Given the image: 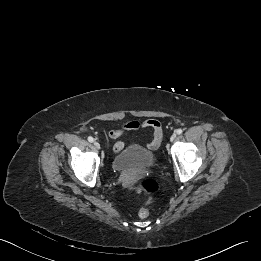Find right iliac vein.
<instances>
[{"instance_id":"63e3f726","label":"right iliac vein","mask_w":261,"mask_h":261,"mask_svg":"<svg viewBox=\"0 0 261 261\" xmlns=\"http://www.w3.org/2000/svg\"><path fill=\"white\" fill-rule=\"evenodd\" d=\"M94 146L97 148V149H100V143L98 141H94Z\"/></svg>"}]
</instances>
